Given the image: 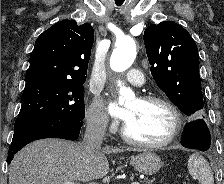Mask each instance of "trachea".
<instances>
[{
  "label": "trachea",
  "instance_id": "obj_1",
  "mask_svg": "<svg viewBox=\"0 0 224 184\" xmlns=\"http://www.w3.org/2000/svg\"><path fill=\"white\" fill-rule=\"evenodd\" d=\"M123 2H124V0H115V3H116L117 6L122 5Z\"/></svg>",
  "mask_w": 224,
  "mask_h": 184
}]
</instances>
